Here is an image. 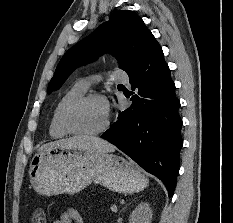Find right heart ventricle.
<instances>
[{
  "label": "right heart ventricle",
  "instance_id": "obj_1",
  "mask_svg": "<svg viewBox=\"0 0 233 223\" xmlns=\"http://www.w3.org/2000/svg\"><path fill=\"white\" fill-rule=\"evenodd\" d=\"M86 92L80 82L67 89L58 99L49 122V134L53 139H61L71 135L63 125V113L67 106Z\"/></svg>",
  "mask_w": 233,
  "mask_h": 223
}]
</instances>
